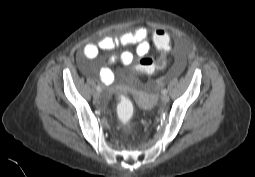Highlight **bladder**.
I'll list each match as a JSON object with an SVG mask.
<instances>
[{"mask_svg": "<svg viewBox=\"0 0 255 177\" xmlns=\"http://www.w3.org/2000/svg\"><path fill=\"white\" fill-rule=\"evenodd\" d=\"M138 85V79H129L127 77H125L123 79V85H122V90L125 93L130 94L133 90H135L137 88Z\"/></svg>", "mask_w": 255, "mask_h": 177, "instance_id": "1", "label": "bladder"}]
</instances>
